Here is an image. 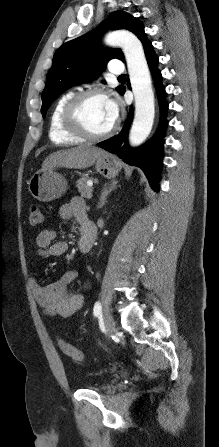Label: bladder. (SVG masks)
Masks as SVG:
<instances>
[{"instance_id":"31cf9c89","label":"bladder","mask_w":219,"mask_h":447,"mask_svg":"<svg viewBox=\"0 0 219 447\" xmlns=\"http://www.w3.org/2000/svg\"><path fill=\"white\" fill-rule=\"evenodd\" d=\"M104 381V379H102L100 382H103Z\"/></svg>"}]
</instances>
